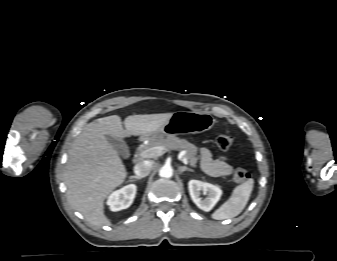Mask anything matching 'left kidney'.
<instances>
[{"label": "left kidney", "mask_w": 337, "mask_h": 261, "mask_svg": "<svg viewBox=\"0 0 337 261\" xmlns=\"http://www.w3.org/2000/svg\"><path fill=\"white\" fill-rule=\"evenodd\" d=\"M188 189L193 202L198 208L206 212L215 206L222 195V190L218 186L199 180H190ZM201 191L204 195H207V198L202 199L200 197Z\"/></svg>", "instance_id": "left-kidney-1"}]
</instances>
